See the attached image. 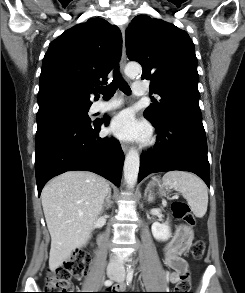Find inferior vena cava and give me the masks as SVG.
Here are the masks:
<instances>
[{
    "instance_id": "602c4592",
    "label": "inferior vena cava",
    "mask_w": 245,
    "mask_h": 293,
    "mask_svg": "<svg viewBox=\"0 0 245 293\" xmlns=\"http://www.w3.org/2000/svg\"><path fill=\"white\" fill-rule=\"evenodd\" d=\"M122 264L114 257H112L110 259L108 268L112 269V270H120L121 269Z\"/></svg>"
}]
</instances>
